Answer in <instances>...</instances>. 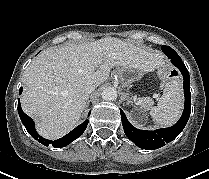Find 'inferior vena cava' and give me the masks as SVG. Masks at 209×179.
I'll return each instance as SVG.
<instances>
[{
  "instance_id": "1",
  "label": "inferior vena cava",
  "mask_w": 209,
  "mask_h": 179,
  "mask_svg": "<svg viewBox=\"0 0 209 179\" xmlns=\"http://www.w3.org/2000/svg\"><path fill=\"white\" fill-rule=\"evenodd\" d=\"M95 88H96V85L95 84L88 85L85 88V94H86L87 98H88L89 94L95 90Z\"/></svg>"
}]
</instances>
